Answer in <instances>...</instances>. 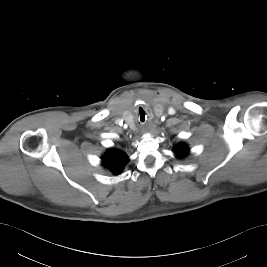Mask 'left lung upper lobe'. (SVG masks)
I'll return each mask as SVG.
<instances>
[{"instance_id": "1", "label": "left lung upper lobe", "mask_w": 267, "mask_h": 267, "mask_svg": "<svg viewBox=\"0 0 267 267\" xmlns=\"http://www.w3.org/2000/svg\"><path fill=\"white\" fill-rule=\"evenodd\" d=\"M173 152L178 158H183L189 153V149L186 144L179 143L174 147Z\"/></svg>"}]
</instances>
